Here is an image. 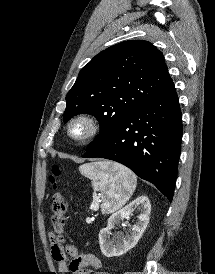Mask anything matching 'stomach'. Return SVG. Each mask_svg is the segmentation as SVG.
<instances>
[{"label": "stomach", "instance_id": "obj_1", "mask_svg": "<svg viewBox=\"0 0 215 274\" xmlns=\"http://www.w3.org/2000/svg\"><path fill=\"white\" fill-rule=\"evenodd\" d=\"M108 163H110L111 166H113L115 164V163H112V162H108Z\"/></svg>", "mask_w": 215, "mask_h": 274}]
</instances>
